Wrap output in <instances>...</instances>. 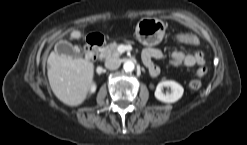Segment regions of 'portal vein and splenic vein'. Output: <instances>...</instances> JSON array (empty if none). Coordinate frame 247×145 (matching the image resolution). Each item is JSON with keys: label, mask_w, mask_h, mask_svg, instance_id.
Returning a JSON list of instances; mask_svg holds the SVG:
<instances>
[{"label": "portal vein and splenic vein", "mask_w": 247, "mask_h": 145, "mask_svg": "<svg viewBox=\"0 0 247 145\" xmlns=\"http://www.w3.org/2000/svg\"><path fill=\"white\" fill-rule=\"evenodd\" d=\"M122 47V51H125L127 49L126 46H121Z\"/></svg>", "instance_id": "obj_1"}]
</instances>
